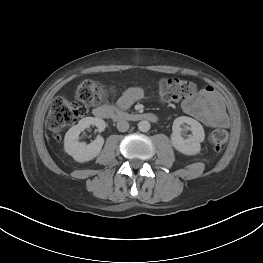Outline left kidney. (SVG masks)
I'll return each mask as SVG.
<instances>
[{
	"label": "left kidney",
	"instance_id": "5707ae66",
	"mask_svg": "<svg viewBox=\"0 0 263 263\" xmlns=\"http://www.w3.org/2000/svg\"><path fill=\"white\" fill-rule=\"evenodd\" d=\"M188 124L189 127L182 128V124ZM184 130H191L192 135L187 138ZM171 142L173 147L185 155H195L200 152V143L204 141L205 133L202 125L193 118L181 116L174 120L172 126Z\"/></svg>",
	"mask_w": 263,
	"mask_h": 263
}]
</instances>
